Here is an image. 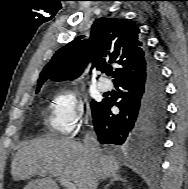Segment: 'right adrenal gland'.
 Wrapping results in <instances>:
<instances>
[{
  "label": "right adrenal gland",
  "instance_id": "obj_1",
  "mask_svg": "<svg viewBox=\"0 0 188 189\" xmlns=\"http://www.w3.org/2000/svg\"><path fill=\"white\" fill-rule=\"evenodd\" d=\"M115 181H122V182H126V180L124 178H122L120 175L118 174H113L111 176V180L110 182L104 187V189H107L111 184H113Z\"/></svg>",
  "mask_w": 188,
  "mask_h": 189
}]
</instances>
